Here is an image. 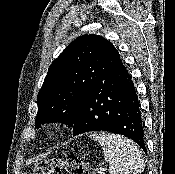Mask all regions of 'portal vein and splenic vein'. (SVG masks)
Segmentation results:
<instances>
[{
    "label": "portal vein and splenic vein",
    "mask_w": 175,
    "mask_h": 174,
    "mask_svg": "<svg viewBox=\"0 0 175 174\" xmlns=\"http://www.w3.org/2000/svg\"><path fill=\"white\" fill-rule=\"evenodd\" d=\"M105 169L104 168H100V171H104Z\"/></svg>",
    "instance_id": "portal-vein-and-splenic-vein-1"
}]
</instances>
